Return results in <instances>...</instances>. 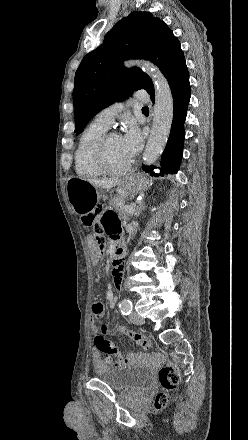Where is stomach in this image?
I'll use <instances>...</instances> for the list:
<instances>
[{"label": "stomach", "mask_w": 248, "mask_h": 440, "mask_svg": "<svg viewBox=\"0 0 248 440\" xmlns=\"http://www.w3.org/2000/svg\"><path fill=\"white\" fill-rule=\"evenodd\" d=\"M149 185V181L143 177L136 175L128 176L119 184L120 196L122 198H132L147 190ZM66 191L68 200L73 210L77 213L90 209L94 202L102 197L97 187L89 181L78 177L68 179ZM103 197L107 198L108 196L104 194Z\"/></svg>", "instance_id": "stomach-1"}]
</instances>
